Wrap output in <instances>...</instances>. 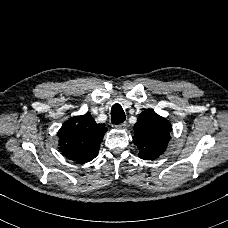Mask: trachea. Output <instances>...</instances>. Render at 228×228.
Returning a JSON list of instances; mask_svg holds the SVG:
<instances>
[{
    "label": "trachea",
    "mask_w": 228,
    "mask_h": 228,
    "mask_svg": "<svg viewBox=\"0 0 228 228\" xmlns=\"http://www.w3.org/2000/svg\"><path fill=\"white\" fill-rule=\"evenodd\" d=\"M126 119L123 108L119 104L113 105L111 108V122L113 124H121Z\"/></svg>",
    "instance_id": "obj_1"
}]
</instances>
